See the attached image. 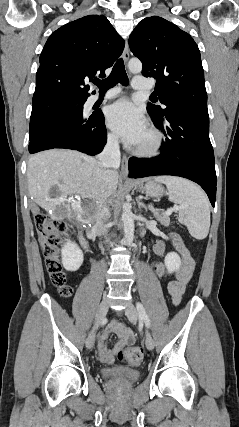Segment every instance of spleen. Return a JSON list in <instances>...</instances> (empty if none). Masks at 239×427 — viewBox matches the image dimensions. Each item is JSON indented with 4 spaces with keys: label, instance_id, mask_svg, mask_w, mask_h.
<instances>
[{
    "label": "spleen",
    "instance_id": "1",
    "mask_svg": "<svg viewBox=\"0 0 239 427\" xmlns=\"http://www.w3.org/2000/svg\"><path fill=\"white\" fill-rule=\"evenodd\" d=\"M164 183L169 199L179 205L178 221L198 240L207 237L210 228V205L204 191L193 182L174 176H158Z\"/></svg>",
    "mask_w": 239,
    "mask_h": 427
}]
</instances>
